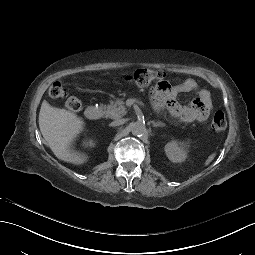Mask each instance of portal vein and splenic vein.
I'll return each mask as SVG.
<instances>
[{
  "mask_svg": "<svg viewBox=\"0 0 255 255\" xmlns=\"http://www.w3.org/2000/svg\"><path fill=\"white\" fill-rule=\"evenodd\" d=\"M133 106H134L133 99H128L127 102H126V107L133 108Z\"/></svg>",
  "mask_w": 255,
  "mask_h": 255,
  "instance_id": "portal-vein-and-splenic-vein-1",
  "label": "portal vein and splenic vein"
}]
</instances>
